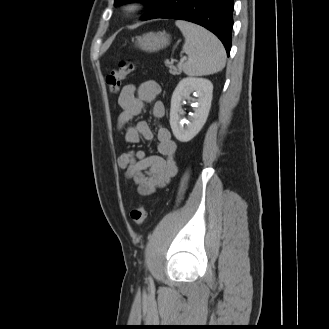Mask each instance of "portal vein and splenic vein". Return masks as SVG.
<instances>
[{
  "label": "portal vein and splenic vein",
  "mask_w": 329,
  "mask_h": 329,
  "mask_svg": "<svg viewBox=\"0 0 329 329\" xmlns=\"http://www.w3.org/2000/svg\"><path fill=\"white\" fill-rule=\"evenodd\" d=\"M186 60H187V57L184 56V57H182V58L180 59V62L183 63V62L186 61Z\"/></svg>",
  "instance_id": "obj_1"
}]
</instances>
